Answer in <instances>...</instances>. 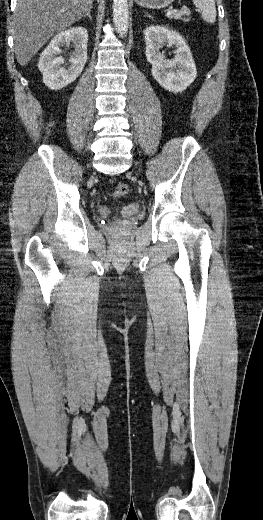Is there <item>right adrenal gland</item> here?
<instances>
[{"mask_svg":"<svg viewBox=\"0 0 263 520\" xmlns=\"http://www.w3.org/2000/svg\"><path fill=\"white\" fill-rule=\"evenodd\" d=\"M91 9L92 7L89 8V10L86 12V14L83 16V18H86L88 17L91 21H92V17H91Z\"/></svg>","mask_w":263,"mask_h":520,"instance_id":"1","label":"right adrenal gland"}]
</instances>
